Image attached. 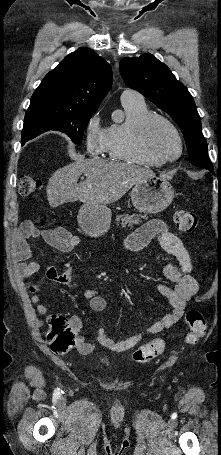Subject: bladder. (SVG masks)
Here are the masks:
<instances>
[{
  "label": "bladder",
  "mask_w": 221,
  "mask_h": 455,
  "mask_svg": "<svg viewBox=\"0 0 221 455\" xmlns=\"http://www.w3.org/2000/svg\"><path fill=\"white\" fill-rule=\"evenodd\" d=\"M107 366H108L107 363H102V364H101V368H103V369H104V368H107Z\"/></svg>",
  "instance_id": "31cf9c89"
}]
</instances>
